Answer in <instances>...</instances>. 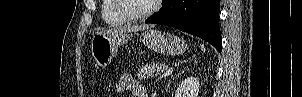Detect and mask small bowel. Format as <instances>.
I'll return each mask as SVG.
<instances>
[{
	"instance_id": "obj_1",
	"label": "small bowel",
	"mask_w": 302,
	"mask_h": 97,
	"mask_svg": "<svg viewBox=\"0 0 302 97\" xmlns=\"http://www.w3.org/2000/svg\"><path fill=\"white\" fill-rule=\"evenodd\" d=\"M116 91L119 96L130 92L135 97H147L145 88L128 73L120 76L116 85Z\"/></svg>"
}]
</instances>
